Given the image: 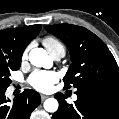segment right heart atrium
I'll return each mask as SVG.
<instances>
[{"label": "right heart atrium", "mask_w": 119, "mask_h": 119, "mask_svg": "<svg viewBox=\"0 0 119 119\" xmlns=\"http://www.w3.org/2000/svg\"><path fill=\"white\" fill-rule=\"evenodd\" d=\"M28 55V49L24 50L23 54H22V59H26Z\"/></svg>", "instance_id": "1"}]
</instances>
